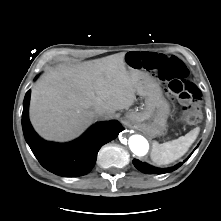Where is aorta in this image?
I'll list each match as a JSON object with an SVG mask.
<instances>
[{"label": "aorta", "mask_w": 221, "mask_h": 221, "mask_svg": "<svg viewBox=\"0 0 221 221\" xmlns=\"http://www.w3.org/2000/svg\"><path fill=\"white\" fill-rule=\"evenodd\" d=\"M130 150L137 156H144L148 152V141L141 135L134 134L128 140Z\"/></svg>", "instance_id": "obj_1"}]
</instances>
